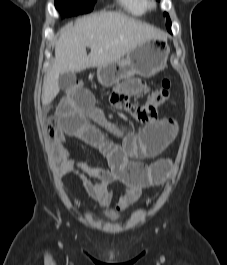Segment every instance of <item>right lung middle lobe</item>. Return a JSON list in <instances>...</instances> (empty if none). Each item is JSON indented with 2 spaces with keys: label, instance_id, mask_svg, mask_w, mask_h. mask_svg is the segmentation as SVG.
<instances>
[{
  "label": "right lung middle lobe",
  "instance_id": "obj_1",
  "mask_svg": "<svg viewBox=\"0 0 227 265\" xmlns=\"http://www.w3.org/2000/svg\"><path fill=\"white\" fill-rule=\"evenodd\" d=\"M96 0H55V7L63 16H72L92 11Z\"/></svg>",
  "mask_w": 227,
  "mask_h": 265
}]
</instances>
